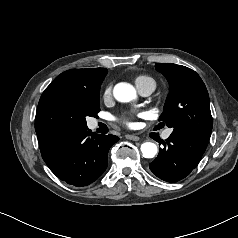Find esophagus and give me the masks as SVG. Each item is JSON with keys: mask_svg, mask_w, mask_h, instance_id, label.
Returning <instances> with one entry per match:
<instances>
[{"mask_svg": "<svg viewBox=\"0 0 238 238\" xmlns=\"http://www.w3.org/2000/svg\"><path fill=\"white\" fill-rule=\"evenodd\" d=\"M125 138L129 139V140H132V141H139L140 140V138L138 136L130 135V134L126 135Z\"/></svg>", "mask_w": 238, "mask_h": 238, "instance_id": "esophagus-1", "label": "esophagus"}]
</instances>
